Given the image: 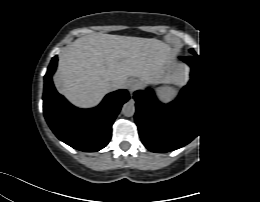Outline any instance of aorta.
I'll return each mask as SVG.
<instances>
[{
    "label": "aorta",
    "instance_id": "762f6f07",
    "mask_svg": "<svg viewBox=\"0 0 260 202\" xmlns=\"http://www.w3.org/2000/svg\"><path fill=\"white\" fill-rule=\"evenodd\" d=\"M122 113L127 117L134 115L135 106H134L133 102L129 101V102L125 103L122 107Z\"/></svg>",
    "mask_w": 260,
    "mask_h": 202
}]
</instances>
